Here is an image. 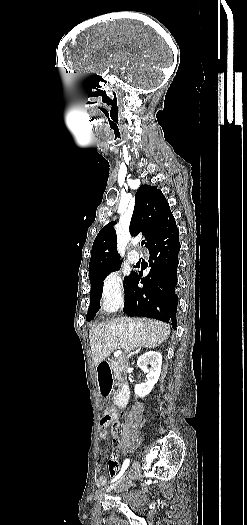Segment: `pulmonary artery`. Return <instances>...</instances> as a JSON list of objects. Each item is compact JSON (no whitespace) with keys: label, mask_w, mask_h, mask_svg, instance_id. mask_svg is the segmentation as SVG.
<instances>
[{"label":"pulmonary artery","mask_w":247,"mask_h":525,"mask_svg":"<svg viewBox=\"0 0 247 525\" xmlns=\"http://www.w3.org/2000/svg\"><path fill=\"white\" fill-rule=\"evenodd\" d=\"M126 255L128 256V261H139V248H136V251L133 248H128L126 250Z\"/></svg>","instance_id":"obj_1"}]
</instances>
